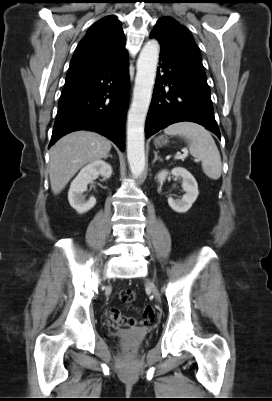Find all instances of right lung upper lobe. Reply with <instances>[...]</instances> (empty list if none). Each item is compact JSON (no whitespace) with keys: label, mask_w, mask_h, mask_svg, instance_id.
<instances>
[{"label":"right lung upper lobe","mask_w":272,"mask_h":401,"mask_svg":"<svg viewBox=\"0 0 272 401\" xmlns=\"http://www.w3.org/2000/svg\"><path fill=\"white\" fill-rule=\"evenodd\" d=\"M125 50V37L120 21L113 15L94 23L79 42L71 59L66 82L86 76Z\"/></svg>","instance_id":"obj_1"}]
</instances>
